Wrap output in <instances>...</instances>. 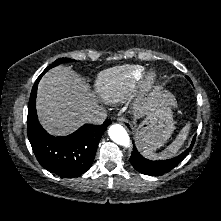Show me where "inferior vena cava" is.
I'll list each match as a JSON object with an SVG mask.
<instances>
[{
    "label": "inferior vena cava",
    "instance_id": "inferior-vena-cava-1",
    "mask_svg": "<svg viewBox=\"0 0 221 221\" xmlns=\"http://www.w3.org/2000/svg\"><path fill=\"white\" fill-rule=\"evenodd\" d=\"M107 114L102 109H97L83 117V121L89 124H101L106 119Z\"/></svg>",
    "mask_w": 221,
    "mask_h": 221
}]
</instances>
